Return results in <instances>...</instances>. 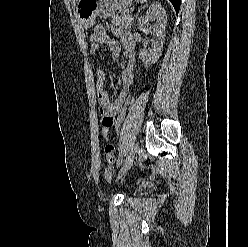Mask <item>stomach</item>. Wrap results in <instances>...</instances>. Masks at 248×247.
<instances>
[{"mask_svg":"<svg viewBox=\"0 0 248 247\" xmlns=\"http://www.w3.org/2000/svg\"><path fill=\"white\" fill-rule=\"evenodd\" d=\"M133 0H78L76 17L85 28L94 25L96 17H109L117 9H124L131 5Z\"/></svg>","mask_w":248,"mask_h":247,"instance_id":"obj_1","label":"stomach"}]
</instances>
